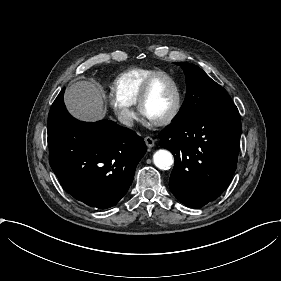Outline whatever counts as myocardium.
Segmentation results:
<instances>
[{
	"mask_svg": "<svg viewBox=\"0 0 281 281\" xmlns=\"http://www.w3.org/2000/svg\"><path fill=\"white\" fill-rule=\"evenodd\" d=\"M163 80H166L172 84L174 91H175V102H174L171 113L166 118H164L162 120H151L146 116V114L144 112V105H145L146 101L148 100V98L150 97L154 87ZM137 107H138V111H139L140 115L144 119H146L150 123H152L153 125L165 126V125L171 124L177 118V116L181 110V107H182V91H181L179 83L172 75H170L168 73H163V74H158V75L152 76L150 79H148V81L144 85V87L139 95V98L137 101Z\"/></svg>",
	"mask_w": 281,
	"mask_h": 281,
	"instance_id": "1",
	"label": "myocardium"
}]
</instances>
